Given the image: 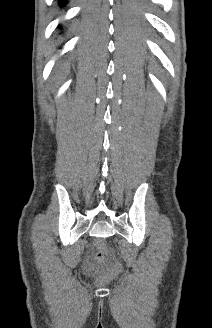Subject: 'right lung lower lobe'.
Wrapping results in <instances>:
<instances>
[{"instance_id": "98d812e1", "label": "right lung lower lobe", "mask_w": 212, "mask_h": 328, "mask_svg": "<svg viewBox=\"0 0 212 328\" xmlns=\"http://www.w3.org/2000/svg\"><path fill=\"white\" fill-rule=\"evenodd\" d=\"M61 7L65 6L67 0H58Z\"/></svg>"}]
</instances>
